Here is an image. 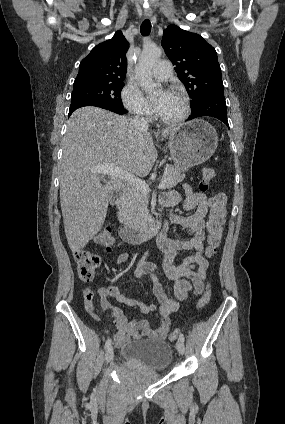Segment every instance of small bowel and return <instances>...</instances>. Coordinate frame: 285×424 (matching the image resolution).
<instances>
[{
	"instance_id": "small-bowel-1",
	"label": "small bowel",
	"mask_w": 285,
	"mask_h": 424,
	"mask_svg": "<svg viewBox=\"0 0 285 424\" xmlns=\"http://www.w3.org/2000/svg\"><path fill=\"white\" fill-rule=\"evenodd\" d=\"M183 193L184 210L194 211V213L179 215L171 212L170 219L185 231L188 238L171 240L160 236L158 239V245L164 253L163 270L166 276L174 281L175 298L165 294L163 286L153 274L155 266L150 262L138 266L135 276L142 279L151 273L152 292L157 299V304H145L131 299L115 285L101 287L97 291L87 287L83 291L85 310L96 321L98 315L95 310L94 296L96 293L99 295L104 314L114 322L116 327L114 341L117 346L132 339H139L141 336L158 340L165 339L172 325L170 316L179 307L178 301L186 300L191 293L200 295L204 291L209 267L206 256L210 257L215 253L211 252L208 246H204L205 229L208 228L204 218L208 212V201L205 194L192 191L187 185L183 186ZM181 197L179 191L173 190L163 195L161 203L163 207L172 210L179 204ZM129 257L128 252H123L118 256L117 263H124ZM177 261L179 264L176 265ZM109 297L122 304L138 307L141 316L128 320L119 307L110 303ZM145 315H152L157 320V324L150 325L149 321L144 318Z\"/></svg>"
}]
</instances>
